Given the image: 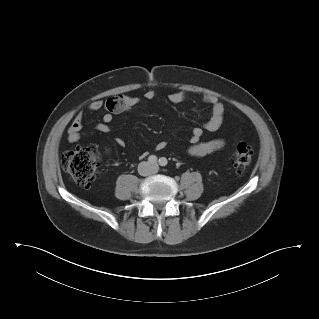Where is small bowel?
<instances>
[{
    "mask_svg": "<svg viewBox=\"0 0 319 319\" xmlns=\"http://www.w3.org/2000/svg\"><path fill=\"white\" fill-rule=\"evenodd\" d=\"M143 96L146 100L150 101L155 98L156 93L153 90L149 89L144 92ZM185 97L186 96L184 92L175 91L169 95V100L173 103H180L184 101ZM110 100H112L113 102L112 108L108 107V102ZM202 100L206 104L211 106L212 115L209 120L206 121L203 127H195L192 130V134L190 137L191 145L188 149V152L190 155L193 156H205L222 149L224 146V141L221 139L201 141L204 130L210 132L217 131L221 127L225 116V107L216 95H205ZM138 102L139 99L135 96H115L108 99L106 102L101 99L94 100L90 103L88 109L90 112L104 110L102 121L97 124L96 130L101 133H108L110 131V123L114 119V114L118 112L128 111ZM83 121L84 113L80 111L75 115L67 129L68 142L75 143L80 140L82 136ZM116 143L119 146L125 145V141L120 137L116 139ZM165 146L166 142L160 141L156 147L157 149H164Z\"/></svg>",
    "mask_w": 319,
    "mask_h": 319,
    "instance_id": "small-bowel-1",
    "label": "small bowel"
}]
</instances>
